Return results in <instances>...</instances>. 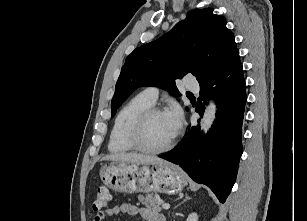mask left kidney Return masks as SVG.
I'll return each mask as SVG.
<instances>
[{"label": "left kidney", "mask_w": 307, "mask_h": 221, "mask_svg": "<svg viewBox=\"0 0 307 221\" xmlns=\"http://www.w3.org/2000/svg\"><path fill=\"white\" fill-rule=\"evenodd\" d=\"M186 221H198V216L196 213H192L188 216Z\"/></svg>", "instance_id": "1"}]
</instances>
